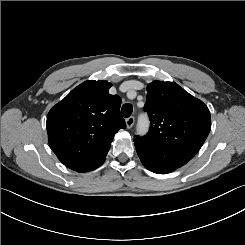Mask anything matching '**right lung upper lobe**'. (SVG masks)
<instances>
[{
    "label": "right lung upper lobe",
    "mask_w": 245,
    "mask_h": 245,
    "mask_svg": "<svg viewBox=\"0 0 245 245\" xmlns=\"http://www.w3.org/2000/svg\"><path fill=\"white\" fill-rule=\"evenodd\" d=\"M111 83L85 81L74 88L47 116L48 141L58 159L77 172L101 166L114 135L126 128L121 99L109 94Z\"/></svg>",
    "instance_id": "cb5924a9"
}]
</instances>
